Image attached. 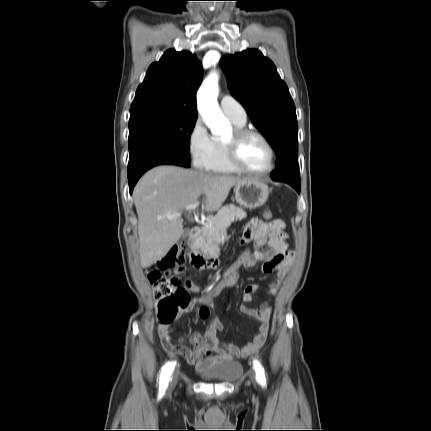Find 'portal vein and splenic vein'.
<instances>
[{
	"label": "portal vein and splenic vein",
	"instance_id": "18ae733b",
	"mask_svg": "<svg viewBox=\"0 0 431 431\" xmlns=\"http://www.w3.org/2000/svg\"><path fill=\"white\" fill-rule=\"evenodd\" d=\"M199 204H200V202L197 201V202H195L193 204L187 205L186 206V210L187 211H192V210L196 209L199 206ZM180 216H181L180 212H175L173 214L166 215V217L169 218V219L179 218Z\"/></svg>",
	"mask_w": 431,
	"mask_h": 431
}]
</instances>
